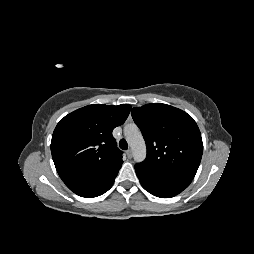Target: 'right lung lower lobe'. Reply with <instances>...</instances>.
Returning a JSON list of instances; mask_svg holds the SVG:
<instances>
[{
    "instance_id": "1",
    "label": "right lung lower lobe",
    "mask_w": 254,
    "mask_h": 254,
    "mask_svg": "<svg viewBox=\"0 0 254 254\" xmlns=\"http://www.w3.org/2000/svg\"><path fill=\"white\" fill-rule=\"evenodd\" d=\"M120 168L116 167L96 175L76 177L64 183L71 191L81 197H97L112 187Z\"/></svg>"
}]
</instances>
